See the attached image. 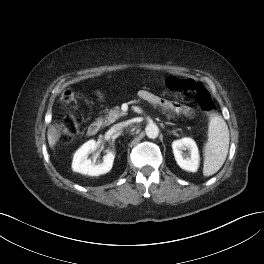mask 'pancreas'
<instances>
[{
    "mask_svg": "<svg viewBox=\"0 0 264 264\" xmlns=\"http://www.w3.org/2000/svg\"><path fill=\"white\" fill-rule=\"evenodd\" d=\"M123 115L124 113L120 110L118 106H116L114 109H111L110 111L107 112L103 125L108 126L114 123L119 117Z\"/></svg>",
    "mask_w": 264,
    "mask_h": 264,
    "instance_id": "1",
    "label": "pancreas"
}]
</instances>
